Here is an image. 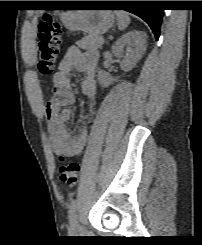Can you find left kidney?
Instances as JSON below:
<instances>
[{
  "label": "left kidney",
  "mask_w": 202,
  "mask_h": 245,
  "mask_svg": "<svg viewBox=\"0 0 202 245\" xmlns=\"http://www.w3.org/2000/svg\"><path fill=\"white\" fill-rule=\"evenodd\" d=\"M147 35L142 31H131L124 34L112 46V53L118 59H121V68L128 72L142 58L146 51ZM118 78L112 77L106 71H99L98 81L102 87H108L117 81Z\"/></svg>",
  "instance_id": "5707ae66"
}]
</instances>
